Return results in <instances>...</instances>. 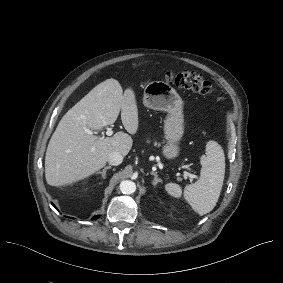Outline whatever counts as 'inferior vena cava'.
<instances>
[{
    "label": "inferior vena cava",
    "mask_w": 283,
    "mask_h": 283,
    "mask_svg": "<svg viewBox=\"0 0 283 283\" xmlns=\"http://www.w3.org/2000/svg\"><path fill=\"white\" fill-rule=\"evenodd\" d=\"M123 161V156L118 152H111L108 156V163L117 166Z\"/></svg>",
    "instance_id": "1"
}]
</instances>
